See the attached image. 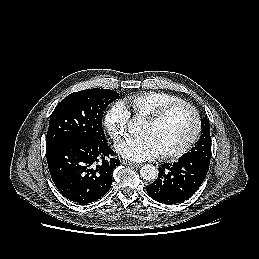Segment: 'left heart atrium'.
<instances>
[{"mask_svg":"<svg viewBox=\"0 0 259 259\" xmlns=\"http://www.w3.org/2000/svg\"><path fill=\"white\" fill-rule=\"evenodd\" d=\"M115 150L118 155L131 161H144L159 155L153 140L148 135L128 137L120 140Z\"/></svg>","mask_w":259,"mask_h":259,"instance_id":"39dd6f15","label":"left heart atrium"}]
</instances>
